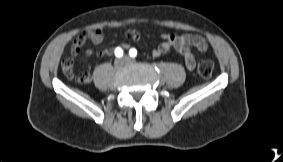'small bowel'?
Segmentation results:
<instances>
[{"label": "small bowel", "mask_w": 283, "mask_h": 162, "mask_svg": "<svg viewBox=\"0 0 283 162\" xmlns=\"http://www.w3.org/2000/svg\"><path fill=\"white\" fill-rule=\"evenodd\" d=\"M126 37L128 42L124 44V47L129 46V41L138 42L140 39L139 34L130 30L126 33ZM104 35L101 30H90L82 33L78 36L70 49V57L63 60L62 62V70L63 72L73 78V58L76 57L85 43L90 41L91 43L98 45L103 41ZM163 41L156 48L152 50V55L158 57L162 54L169 53L171 51H175L180 56L183 57L185 66L188 70H193L196 66V55L192 51V48H196L200 52H204L207 49V44L205 39L196 34H182L176 35L173 33H163L162 34ZM111 54L110 49L103 50L101 52H94L92 50L86 51V56H109ZM89 74V72H86Z\"/></svg>", "instance_id": "obj_1"}]
</instances>
